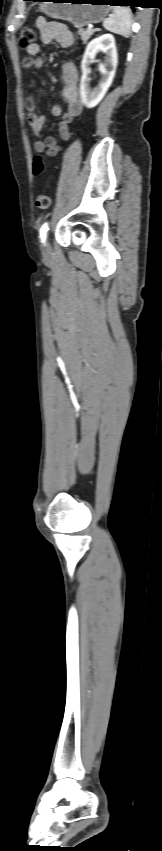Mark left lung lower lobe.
<instances>
[{
  "instance_id": "left-lung-lower-lobe-1",
  "label": "left lung lower lobe",
  "mask_w": 162,
  "mask_h": 851,
  "mask_svg": "<svg viewBox=\"0 0 162 851\" xmlns=\"http://www.w3.org/2000/svg\"><path fill=\"white\" fill-rule=\"evenodd\" d=\"M32 1H43V0H32ZM106 3H110L111 5H122V6H130L133 7L132 0H107Z\"/></svg>"
}]
</instances>
